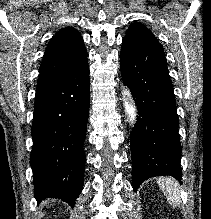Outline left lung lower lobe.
I'll return each mask as SVG.
<instances>
[{
	"label": "left lung lower lobe",
	"mask_w": 211,
	"mask_h": 219,
	"mask_svg": "<svg viewBox=\"0 0 211 219\" xmlns=\"http://www.w3.org/2000/svg\"><path fill=\"white\" fill-rule=\"evenodd\" d=\"M120 69L139 114L130 137L134 190L155 176L181 181L179 119L162 46L124 38Z\"/></svg>",
	"instance_id": "0a47b994"
}]
</instances>
